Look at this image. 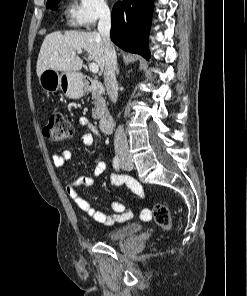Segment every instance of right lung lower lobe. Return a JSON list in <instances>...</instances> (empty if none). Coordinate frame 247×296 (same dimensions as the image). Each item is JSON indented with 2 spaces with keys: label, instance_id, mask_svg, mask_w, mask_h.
Returning a JSON list of instances; mask_svg holds the SVG:
<instances>
[{
  "label": "right lung lower lobe",
  "instance_id": "1",
  "mask_svg": "<svg viewBox=\"0 0 247 296\" xmlns=\"http://www.w3.org/2000/svg\"><path fill=\"white\" fill-rule=\"evenodd\" d=\"M154 0H124L112 10L111 40L121 49L150 58L148 35Z\"/></svg>",
  "mask_w": 247,
  "mask_h": 296
}]
</instances>
